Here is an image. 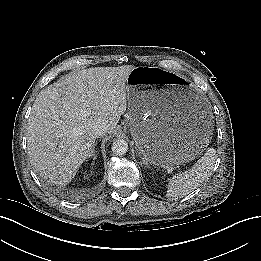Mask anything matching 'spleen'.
Here are the masks:
<instances>
[{
	"mask_svg": "<svg viewBox=\"0 0 261 261\" xmlns=\"http://www.w3.org/2000/svg\"><path fill=\"white\" fill-rule=\"evenodd\" d=\"M215 160L216 150L209 148L192 169L171 177L168 180L167 198H181L198 188L209 176L214 167Z\"/></svg>",
	"mask_w": 261,
	"mask_h": 261,
	"instance_id": "spleen-1",
	"label": "spleen"
}]
</instances>
